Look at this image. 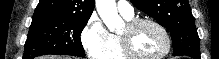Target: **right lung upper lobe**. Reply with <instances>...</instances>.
<instances>
[{
	"instance_id": "obj_1",
	"label": "right lung upper lobe",
	"mask_w": 219,
	"mask_h": 59,
	"mask_svg": "<svg viewBox=\"0 0 219 59\" xmlns=\"http://www.w3.org/2000/svg\"><path fill=\"white\" fill-rule=\"evenodd\" d=\"M94 0H40L34 15L90 18Z\"/></svg>"
}]
</instances>
